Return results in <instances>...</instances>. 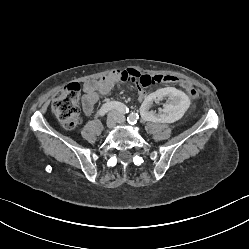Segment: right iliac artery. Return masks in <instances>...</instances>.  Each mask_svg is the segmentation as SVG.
<instances>
[{"instance_id":"obj_1","label":"right iliac artery","mask_w":249,"mask_h":249,"mask_svg":"<svg viewBox=\"0 0 249 249\" xmlns=\"http://www.w3.org/2000/svg\"><path fill=\"white\" fill-rule=\"evenodd\" d=\"M113 109H116L123 114L129 112V109L124 104L120 102L112 101V102L105 103L98 111V114L100 116H104L107 112Z\"/></svg>"}]
</instances>
